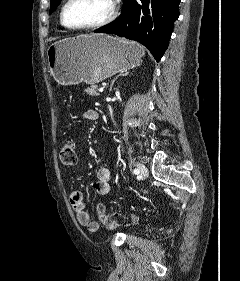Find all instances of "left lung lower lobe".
<instances>
[{
	"label": "left lung lower lobe",
	"mask_w": 240,
	"mask_h": 281,
	"mask_svg": "<svg viewBox=\"0 0 240 281\" xmlns=\"http://www.w3.org/2000/svg\"><path fill=\"white\" fill-rule=\"evenodd\" d=\"M181 0H123L122 13L94 32L116 34L146 46L157 62L168 48Z\"/></svg>",
	"instance_id": "1"
}]
</instances>
